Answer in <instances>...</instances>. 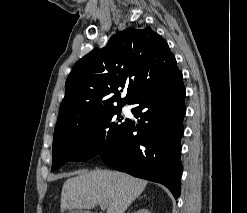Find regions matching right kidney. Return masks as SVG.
I'll return each mask as SVG.
<instances>
[{
	"instance_id": "right-kidney-1",
	"label": "right kidney",
	"mask_w": 247,
	"mask_h": 213,
	"mask_svg": "<svg viewBox=\"0 0 247 213\" xmlns=\"http://www.w3.org/2000/svg\"><path fill=\"white\" fill-rule=\"evenodd\" d=\"M134 213H150V211L145 208H142V209L135 211Z\"/></svg>"
}]
</instances>
